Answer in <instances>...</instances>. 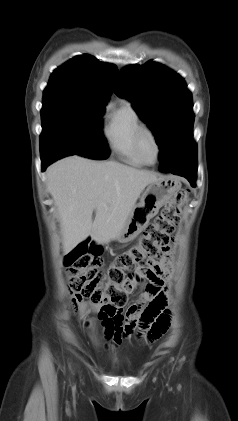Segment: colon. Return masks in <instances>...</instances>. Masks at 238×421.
<instances>
[{
	"mask_svg": "<svg viewBox=\"0 0 238 421\" xmlns=\"http://www.w3.org/2000/svg\"><path fill=\"white\" fill-rule=\"evenodd\" d=\"M187 197L188 190L181 189L137 243L119 254L107 267H103L100 247L83 243L74 248L66 256L73 309H77L82 299H88L101 307L100 320L110 323L116 310L126 304L127 293L134 288L132 274L148 267L169 249Z\"/></svg>",
	"mask_w": 238,
	"mask_h": 421,
	"instance_id": "obj_1",
	"label": "colon"
}]
</instances>
